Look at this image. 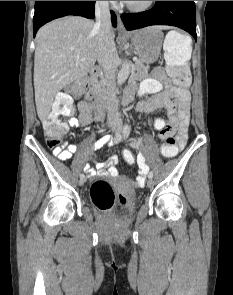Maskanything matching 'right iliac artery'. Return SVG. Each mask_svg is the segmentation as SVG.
I'll list each match as a JSON object with an SVG mask.
<instances>
[{
  "label": "right iliac artery",
  "instance_id": "right-iliac-artery-1",
  "mask_svg": "<svg viewBox=\"0 0 233 295\" xmlns=\"http://www.w3.org/2000/svg\"><path fill=\"white\" fill-rule=\"evenodd\" d=\"M102 139V138H101ZM121 139H122V135H121V133L120 132H117L116 134H115V136H114V142H113V144H117V143H119L120 141H121ZM85 176H84V174H80V178H84Z\"/></svg>",
  "mask_w": 233,
  "mask_h": 295
}]
</instances>
